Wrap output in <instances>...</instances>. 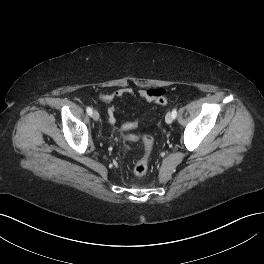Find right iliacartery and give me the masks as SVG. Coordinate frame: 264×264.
<instances>
[{
	"instance_id": "obj_1",
	"label": "right iliac artery",
	"mask_w": 264,
	"mask_h": 264,
	"mask_svg": "<svg viewBox=\"0 0 264 264\" xmlns=\"http://www.w3.org/2000/svg\"><path fill=\"white\" fill-rule=\"evenodd\" d=\"M86 111H87L88 115H90V116L92 115V109L90 107H87Z\"/></svg>"
}]
</instances>
